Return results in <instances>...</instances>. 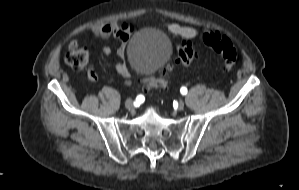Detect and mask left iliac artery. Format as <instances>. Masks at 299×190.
<instances>
[{
	"instance_id": "1",
	"label": "left iliac artery",
	"mask_w": 299,
	"mask_h": 190,
	"mask_svg": "<svg viewBox=\"0 0 299 190\" xmlns=\"http://www.w3.org/2000/svg\"><path fill=\"white\" fill-rule=\"evenodd\" d=\"M180 92H181L182 95H186L187 94V88L186 87H182L180 89Z\"/></svg>"
}]
</instances>
